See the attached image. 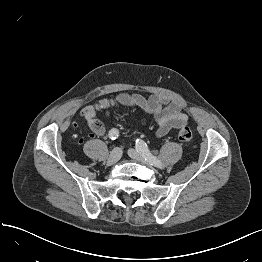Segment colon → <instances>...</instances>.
I'll use <instances>...</instances> for the list:
<instances>
[{"instance_id":"5ec220e1","label":"colon","mask_w":262,"mask_h":262,"mask_svg":"<svg viewBox=\"0 0 262 262\" xmlns=\"http://www.w3.org/2000/svg\"><path fill=\"white\" fill-rule=\"evenodd\" d=\"M140 123L143 126H146L148 124V121L146 119H141ZM192 138V131L189 127L183 126L179 131H178V140L187 143L191 140Z\"/></svg>"}]
</instances>
